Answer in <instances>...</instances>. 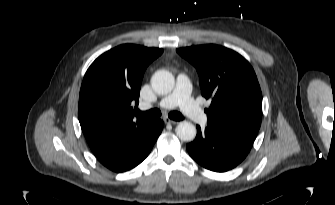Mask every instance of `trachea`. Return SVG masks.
I'll use <instances>...</instances> for the list:
<instances>
[{
    "mask_svg": "<svg viewBox=\"0 0 335 205\" xmlns=\"http://www.w3.org/2000/svg\"><path fill=\"white\" fill-rule=\"evenodd\" d=\"M140 114L144 115V116H147V117H159L161 116V111L159 109H151L149 111H146V112H140ZM169 118H171L172 120H175V121H180V120H183L184 117L183 115L180 113V112H177V111H172L168 114Z\"/></svg>",
    "mask_w": 335,
    "mask_h": 205,
    "instance_id": "1",
    "label": "trachea"
}]
</instances>
